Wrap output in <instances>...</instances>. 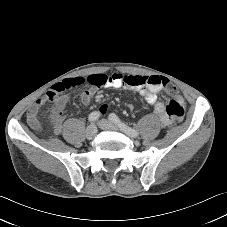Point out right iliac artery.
Wrapping results in <instances>:
<instances>
[{
	"label": "right iliac artery",
	"mask_w": 227,
	"mask_h": 227,
	"mask_svg": "<svg viewBox=\"0 0 227 227\" xmlns=\"http://www.w3.org/2000/svg\"><path fill=\"white\" fill-rule=\"evenodd\" d=\"M99 117H100V113L97 111H94L89 115L88 120L89 122L93 123L96 120H98Z\"/></svg>",
	"instance_id": "right-iliac-artery-1"
}]
</instances>
